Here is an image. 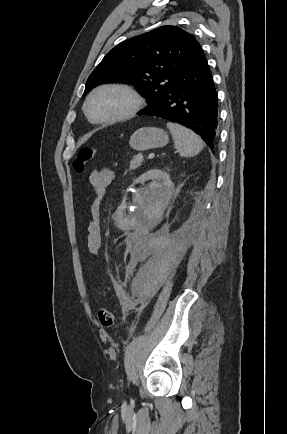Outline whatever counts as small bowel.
<instances>
[{
	"instance_id": "small-bowel-1",
	"label": "small bowel",
	"mask_w": 287,
	"mask_h": 434,
	"mask_svg": "<svg viewBox=\"0 0 287 434\" xmlns=\"http://www.w3.org/2000/svg\"><path fill=\"white\" fill-rule=\"evenodd\" d=\"M115 174L109 168L93 170L89 175V182L96 197L90 207V221L87 225L86 241L91 254L97 255L103 243L102 228L100 224L101 202L107 187L113 182Z\"/></svg>"
}]
</instances>
